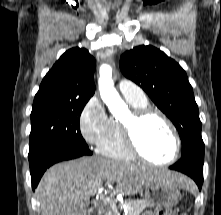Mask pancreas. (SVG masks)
<instances>
[{
    "label": "pancreas",
    "instance_id": "1",
    "mask_svg": "<svg viewBox=\"0 0 221 215\" xmlns=\"http://www.w3.org/2000/svg\"><path fill=\"white\" fill-rule=\"evenodd\" d=\"M127 206V212L128 215H140V213L146 208L151 206L150 203H148L145 200H128L125 202ZM105 215H114V210L112 208H108L106 210Z\"/></svg>",
    "mask_w": 221,
    "mask_h": 215
}]
</instances>
